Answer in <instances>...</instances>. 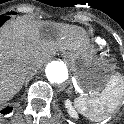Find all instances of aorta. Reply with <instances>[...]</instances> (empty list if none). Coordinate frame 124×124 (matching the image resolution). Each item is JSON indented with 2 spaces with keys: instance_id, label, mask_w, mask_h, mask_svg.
Instances as JSON below:
<instances>
[{
  "instance_id": "762f6f07",
  "label": "aorta",
  "mask_w": 124,
  "mask_h": 124,
  "mask_svg": "<svg viewBox=\"0 0 124 124\" xmlns=\"http://www.w3.org/2000/svg\"><path fill=\"white\" fill-rule=\"evenodd\" d=\"M45 73L50 83L61 84L68 79L67 68L58 62L50 63L46 67Z\"/></svg>"
}]
</instances>
